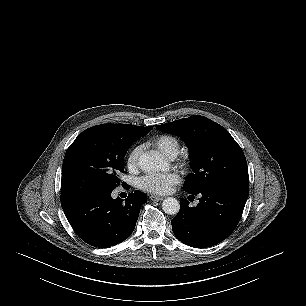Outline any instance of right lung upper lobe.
<instances>
[{
  "instance_id": "obj_1",
  "label": "right lung upper lobe",
  "mask_w": 306,
  "mask_h": 306,
  "mask_svg": "<svg viewBox=\"0 0 306 306\" xmlns=\"http://www.w3.org/2000/svg\"><path fill=\"white\" fill-rule=\"evenodd\" d=\"M99 126L119 131L122 134L142 135V136H145L153 128V126L140 127L131 124H105ZM99 126H94V127H99Z\"/></svg>"
}]
</instances>
